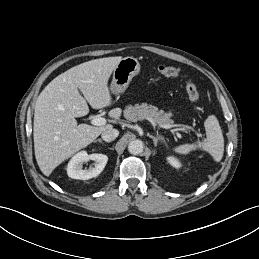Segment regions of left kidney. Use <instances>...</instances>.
I'll return each instance as SVG.
<instances>
[{"instance_id": "5707ae66", "label": "left kidney", "mask_w": 259, "mask_h": 259, "mask_svg": "<svg viewBox=\"0 0 259 259\" xmlns=\"http://www.w3.org/2000/svg\"><path fill=\"white\" fill-rule=\"evenodd\" d=\"M167 161L175 168H180L182 166L178 159L173 156H168Z\"/></svg>"}]
</instances>
